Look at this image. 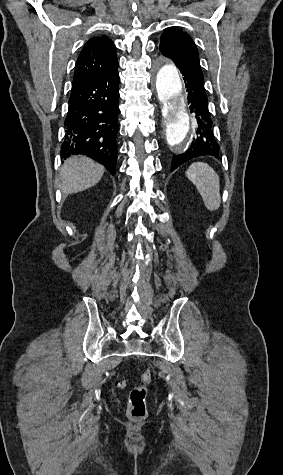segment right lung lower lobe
Returning a JSON list of instances; mask_svg holds the SVG:
<instances>
[{"label": "right lung lower lobe", "mask_w": 283, "mask_h": 475, "mask_svg": "<svg viewBox=\"0 0 283 475\" xmlns=\"http://www.w3.org/2000/svg\"><path fill=\"white\" fill-rule=\"evenodd\" d=\"M119 81L117 69L73 79L64 122L62 158L87 155L115 174Z\"/></svg>", "instance_id": "obj_1"}]
</instances>
